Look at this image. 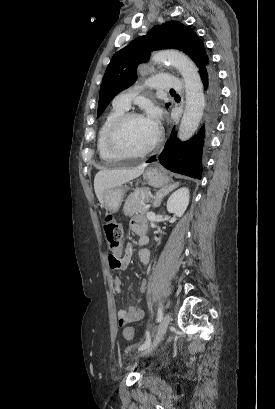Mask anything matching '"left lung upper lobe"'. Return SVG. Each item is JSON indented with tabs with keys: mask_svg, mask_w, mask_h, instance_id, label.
Wrapping results in <instances>:
<instances>
[{
	"mask_svg": "<svg viewBox=\"0 0 275 409\" xmlns=\"http://www.w3.org/2000/svg\"><path fill=\"white\" fill-rule=\"evenodd\" d=\"M160 49L183 51L200 68L199 71L209 64L204 45L193 29L177 21L156 25L112 57L100 86L98 117L114 96L137 80L138 65L146 62L152 51ZM169 106L170 103L166 104Z\"/></svg>",
	"mask_w": 275,
	"mask_h": 409,
	"instance_id": "obj_1",
	"label": "left lung upper lobe"
}]
</instances>
